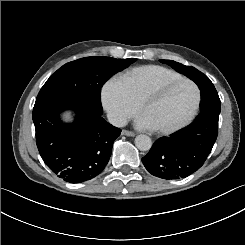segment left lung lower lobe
<instances>
[{
	"instance_id": "0a47b994",
	"label": "left lung lower lobe",
	"mask_w": 245,
	"mask_h": 245,
	"mask_svg": "<svg viewBox=\"0 0 245 245\" xmlns=\"http://www.w3.org/2000/svg\"><path fill=\"white\" fill-rule=\"evenodd\" d=\"M196 84L201 91V112L195 121L171 137L157 140L142 158L156 177L177 180L191 175L204 164L216 141L221 110L218 93L209 78Z\"/></svg>"
}]
</instances>
